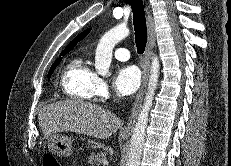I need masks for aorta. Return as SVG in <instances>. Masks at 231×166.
<instances>
[{"label":"aorta","instance_id":"762f6f07","mask_svg":"<svg viewBox=\"0 0 231 166\" xmlns=\"http://www.w3.org/2000/svg\"><path fill=\"white\" fill-rule=\"evenodd\" d=\"M129 33L127 26L125 24H120L102 36L95 52V69L100 75H108L109 67L112 62L113 48L119 41L126 38ZM159 71V60L157 56H154L152 57L149 82L144 103L130 140L127 166L140 165L144 136L148 124L149 112L159 79Z\"/></svg>","mask_w":231,"mask_h":166}]
</instances>
